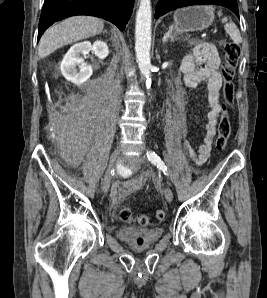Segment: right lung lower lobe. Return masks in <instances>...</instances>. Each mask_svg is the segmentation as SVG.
Listing matches in <instances>:
<instances>
[{"mask_svg": "<svg viewBox=\"0 0 267 298\" xmlns=\"http://www.w3.org/2000/svg\"><path fill=\"white\" fill-rule=\"evenodd\" d=\"M134 0H45L39 21L38 40L54 22L75 15L106 19L124 30Z\"/></svg>", "mask_w": 267, "mask_h": 298, "instance_id": "obj_1", "label": "right lung lower lobe"}]
</instances>
